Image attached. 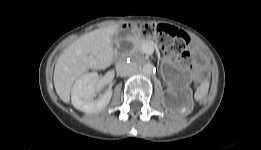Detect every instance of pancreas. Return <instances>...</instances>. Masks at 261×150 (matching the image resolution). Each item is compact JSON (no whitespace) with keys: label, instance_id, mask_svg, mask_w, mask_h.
<instances>
[{"label":"pancreas","instance_id":"1","mask_svg":"<svg viewBox=\"0 0 261 150\" xmlns=\"http://www.w3.org/2000/svg\"><path fill=\"white\" fill-rule=\"evenodd\" d=\"M134 44H135L137 50H138L140 53H142V54H143L142 46H143L144 44H150L151 46H153V43H152V41H151L150 39H144V38H136V39L134 40Z\"/></svg>","mask_w":261,"mask_h":150}]
</instances>
